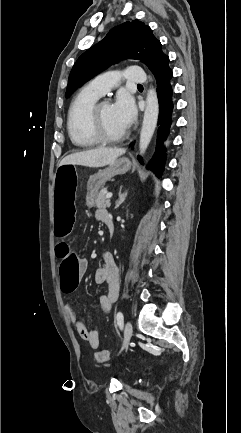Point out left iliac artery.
I'll return each mask as SVG.
<instances>
[{
    "label": "left iliac artery",
    "instance_id": "left-iliac-artery-1",
    "mask_svg": "<svg viewBox=\"0 0 241 433\" xmlns=\"http://www.w3.org/2000/svg\"><path fill=\"white\" fill-rule=\"evenodd\" d=\"M116 322L118 326H122L124 323V316L122 314V312H118L116 315Z\"/></svg>",
    "mask_w": 241,
    "mask_h": 433
}]
</instances>
